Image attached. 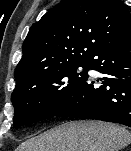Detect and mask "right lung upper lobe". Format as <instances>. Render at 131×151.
<instances>
[{"mask_svg":"<svg viewBox=\"0 0 131 151\" xmlns=\"http://www.w3.org/2000/svg\"><path fill=\"white\" fill-rule=\"evenodd\" d=\"M130 33L131 14L120 0H62L31 26L15 70V88L89 62L97 49Z\"/></svg>","mask_w":131,"mask_h":151,"instance_id":"obj_1","label":"right lung upper lobe"}]
</instances>
